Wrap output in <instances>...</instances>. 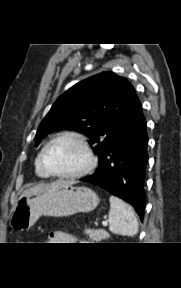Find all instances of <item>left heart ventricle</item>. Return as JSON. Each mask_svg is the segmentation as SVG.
I'll list each match as a JSON object with an SVG mask.
<instances>
[{
    "label": "left heart ventricle",
    "instance_id": "1",
    "mask_svg": "<svg viewBox=\"0 0 181 288\" xmlns=\"http://www.w3.org/2000/svg\"><path fill=\"white\" fill-rule=\"evenodd\" d=\"M45 160L52 171L67 174L81 169L86 157L82 147L75 140L64 138L54 142L47 149Z\"/></svg>",
    "mask_w": 181,
    "mask_h": 288
}]
</instances>
